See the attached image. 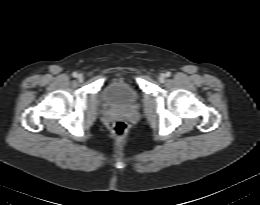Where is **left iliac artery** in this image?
<instances>
[{
    "label": "left iliac artery",
    "mask_w": 260,
    "mask_h": 205,
    "mask_svg": "<svg viewBox=\"0 0 260 205\" xmlns=\"http://www.w3.org/2000/svg\"><path fill=\"white\" fill-rule=\"evenodd\" d=\"M166 77H170L171 76V73L170 72H166Z\"/></svg>",
    "instance_id": "left-iliac-artery-1"
}]
</instances>
